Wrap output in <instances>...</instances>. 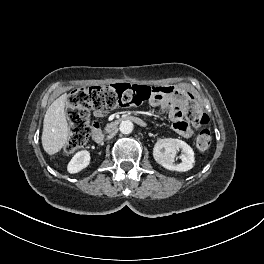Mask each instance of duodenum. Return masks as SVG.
<instances>
[{
	"instance_id": "410a0bca",
	"label": "duodenum",
	"mask_w": 264,
	"mask_h": 264,
	"mask_svg": "<svg viewBox=\"0 0 264 264\" xmlns=\"http://www.w3.org/2000/svg\"><path fill=\"white\" fill-rule=\"evenodd\" d=\"M123 121H131L134 122L140 126H145L146 123L139 117L133 116V115H126L119 119H115L113 121H110L104 131H96L93 135V140L95 143L100 144L104 141L105 134L112 133L114 130H117L119 124Z\"/></svg>"
}]
</instances>
